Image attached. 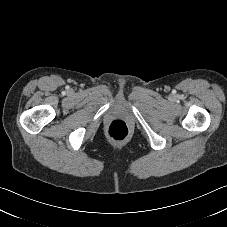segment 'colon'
<instances>
[{
	"label": "colon",
	"instance_id": "obj_1",
	"mask_svg": "<svg viewBox=\"0 0 227 227\" xmlns=\"http://www.w3.org/2000/svg\"><path fill=\"white\" fill-rule=\"evenodd\" d=\"M108 135L116 141H123L129 135L127 124L122 120H113L108 126Z\"/></svg>",
	"mask_w": 227,
	"mask_h": 227
}]
</instances>
